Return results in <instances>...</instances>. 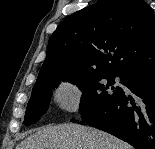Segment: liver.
Masks as SVG:
<instances>
[{"mask_svg":"<svg viewBox=\"0 0 155 149\" xmlns=\"http://www.w3.org/2000/svg\"><path fill=\"white\" fill-rule=\"evenodd\" d=\"M16 149H132V146L103 131L64 123L40 129Z\"/></svg>","mask_w":155,"mask_h":149,"instance_id":"liver-1","label":"liver"}]
</instances>
